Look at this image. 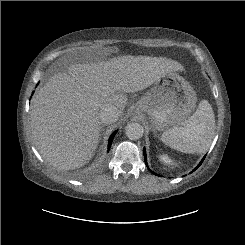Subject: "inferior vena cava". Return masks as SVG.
Wrapping results in <instances>:
<instances>
[{"instance_id": "602c4592", "label": "inferior vena cava", "mask_w": 245, "mask_h": 245, "mask_svg": "<svg viewBox=\"0 0 245 245\" xmlns=\"http://www.w3.org/2000/svg\"><path fill=\"white\" fill-rule=\"evenodd\" d=\"M99 118L104 124H112L119 118L118 109L111 104H104L100 107Z\"/></svg>"}]
</instances>
